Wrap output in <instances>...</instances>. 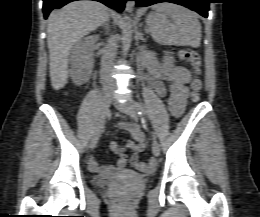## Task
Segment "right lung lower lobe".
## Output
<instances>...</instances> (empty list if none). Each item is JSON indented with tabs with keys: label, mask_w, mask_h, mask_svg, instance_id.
Masks as SVG:
<instances>
[{
	"label": "right lung lower lobe",
	"mask_w": 260,
	"mask_h": 217,
	"mask_svg": "<svg viewBox=\"0 0 260 217\" xmlns=\"http://www.w3.org/2000/svg\"><path fill=\"white\" fill-rule=\"evenodd\" d=\"M76 1V0H43V13L44 17L47 18L51 10L58 9L65 4ZM99 1L112 9H116L118 12H122L124 9L125 2L128 0H95Z\"/></svg>",
	"instance_id": "right-lung-lower-lobe-1"
}]
</instances>
